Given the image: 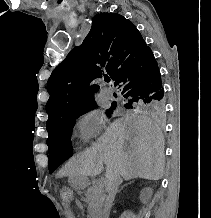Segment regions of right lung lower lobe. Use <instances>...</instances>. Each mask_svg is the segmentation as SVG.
I'll return each mask as SVG.
<instances>
[{"instance_id":"98d812e1","label":"right lung lower lobe","mask_w":211,"mask_h":218,"mask_svg":"<svg viewBox=\"0 0 211 218\" xmlns=\"http://www.w3.org/2000/svg\"><path fill=\"white\" fill-rule=\"evenodd\" d=\"M125 98L163 99L164 91L157 62L151 50L141 55L114 80Z\"/></svg>"}]
</instances>
